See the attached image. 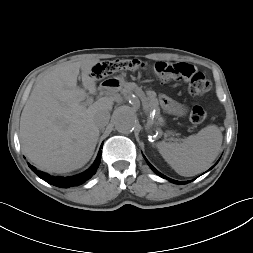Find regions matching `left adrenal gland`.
Returning a JSON list of instances; mask_svg holds the SVG:
<instances>
[{
    "label": "left adrenal gland",
    "mask_w": 253,
    "mask_h": 253,
    "mask_svg": "<svg viewBox=\"0 0 253 253\" xmlns=\"http://www.w3.org/2000/svg\"><path fill=\"white\" fill-rule=\"evenodd\" d=\"M149 129H150V125L147 124V125H146V130H149Z\"/></svg>",
    "instance_id": "left-adrenal-gland-1"
}]
</instances>
